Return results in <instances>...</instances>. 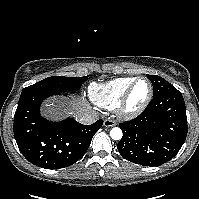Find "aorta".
<instances>
[{
	"label": "aorta",
	"instance_id": "1",
	"mask_svg": "<svg viewBox=\"0 0 199 199\" xmlns=\"http://www.w3.org/2000/svg\"><path fill=\"white\" fill-rule=\"evenodd\" d=\"M110 136L113 140H120L123 136L122 130L118 127H114L110 131Z\"/></svg>",
	"mask_w": 199,
	"mask_h": 199
}]
</instances>
